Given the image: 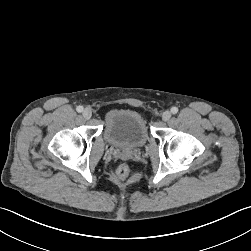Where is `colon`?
Wrapping results in <instances>:
<instances>
[{"mask_svg":"<svg viewBox=\"0 0 251 251\" xmlns=\"http://www.w3.org/2000/svg\"><path fill=\"white\" fill-rule=\"evenodd\" d=\"M116 175L119 179L124 180L129 175V167L126 164H120L116 169Z\"/></svg>","mask_w":251,"mask_h":251,"instance_id":"colon-1","label":"colon"}]
</instances>
